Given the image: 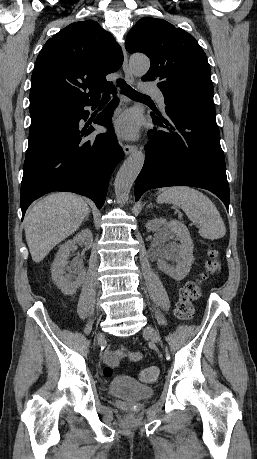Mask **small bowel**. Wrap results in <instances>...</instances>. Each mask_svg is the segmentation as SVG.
Wrapping results in <instances>:
<instances>
[{
	"mask_svg": "<svg viewBox=\"0 0 257 459\" xmlns=\"http://www.w3.org/2000/svg\"><path fill=\"white\" fill-rule=\"evenodd\" d=\"M106 364L116 366L122 359H128L132 362H137L142 359V354L139 352L130 351L121 346L117 349H107L103 355Z\"/></svg>",
	"mask_w": 257,
	"mask_h": 459,
	"instance_id": "small-bowel-1",
	"label": "small bowel"
}]
</instances>
